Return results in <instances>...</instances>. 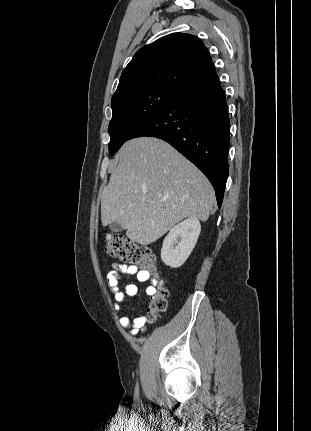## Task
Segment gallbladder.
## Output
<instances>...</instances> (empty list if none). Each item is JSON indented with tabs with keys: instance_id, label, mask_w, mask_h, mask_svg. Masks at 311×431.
Instances as JSON below:
<instances>
[{
	"instance_id": "1",
	"label": "gallbladder",
	"mask_w": 311,
	"mask_h": 431,
	"mask_svg": "<svg viewBox=\"0 0 311 431\" xmlns=\"http://www.w3.org/2000/svg\"><path fill=\"white\" fill-rule=\"evenodd\" d=\"M110 229L112 231H122L123 227L120 225V223H117V221H112V223H109Z\"/></svg>"
}]
</instances>
